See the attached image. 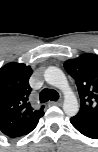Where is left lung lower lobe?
<instances>
[{
  "label": "left lung lower lobe",
  "mask_w": 98,
  "mask_h": 152,
  "mask_svg": "<svg viewBox=\"0 0 98 152\" xmlns=\"http://www.w3.org/2000/svg\"><path fill=\"white\" fill-rule=\"evenodd\" d=\"M70 122L83 135L92 139H98V125L74 118H71Z\"/></svg>",
  "instance_id": "obj_1"
}]
</instances>
